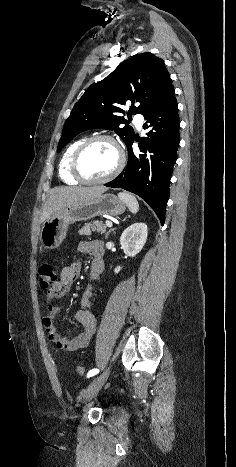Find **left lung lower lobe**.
Here are the masks:
<instances>
[{
	"mask_svg": "<svg viewBox=\"0 0 236 467\" xmlns=\"http://www.w3.org/2000/svg\"><path fill=\"white\" fill-rule=\"evenodd\" d=\"M144 118L151 130L139 142L140 154L132 150L134 137L126 144L128 162L125 170L105 186L122 188L143 198L164 224L169 184L177 157L179 137L178 104L173 86Z\"/></svg>",
	"mask_w": 236,
	"mask_h": 467,
	"instance_id": "obj_1",
	"label": "left lung lower lobe"
}]
</instances>
